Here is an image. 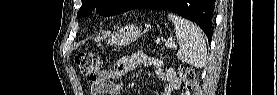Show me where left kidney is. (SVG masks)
Segmentation results:
<instances>
[{"label": "left kidney", "mask_w": 277, "mask_h": 95, "mask_svg": "<svg viewBox=\"0 0 277 95\" xmlns=\"http://www.w3.org/2000/svg\"><path fill=\"white\" fill-rule=\"evenodd\" d=\"M178 80L174 81V88H176Z\"/></svg>", "instance_id": "obj_1"}]
</instances>
